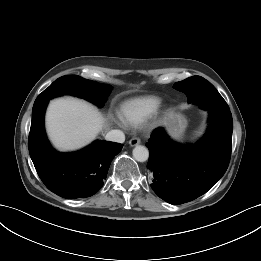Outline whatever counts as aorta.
<instances>
[{
	"instance_id": "1",
	"label": "aorta",
	"mask_w": 261,
	"mask_h": 261,
	"mask_svg": "<svg viewBox=\"0 0 261 261\" xmlns=\"http://www.w3.org/2000/svg\"><path fill=\"white\" fill-rule=\"evenodd\" d=\"M133 157L138 162H145L148 160L149 157V151L145 146L137 145L133 149Z\"/></svg>"
}]
</instances>
